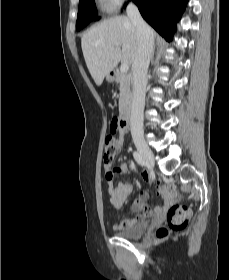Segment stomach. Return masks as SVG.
<instances>
[{
	"mask_svg": "<svg viewBox=\"0 0 229 280\" xmlns=\"http://www.w3.org/2000/svg\"><path fill=\"white\" fill-rule=\"evenodd\" d=\"M106 80L111 83V82H113L115 80V77L111 73H109L106 76Z\"/></svg>",
	"mask_w": 229,
	"mask_h": 280,
	"instance_id": "stomach-1",
	"label": "stomach"
}]
</instances>
